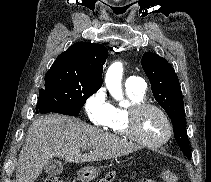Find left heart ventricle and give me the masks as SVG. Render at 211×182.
I'll use <instances>...</instances> for the list:
<instances>
[{
	"mask_svg": "<svg viewBox=\"0 0 211 182\" xmlns=\"http://www.w3.org/2000/svg\"><path fill=\"white\" fill-rule=\"evenodd\" d=\"M137 129L140 137L149 142L161 140L167 130L164 119L153 109H148L140 114Z\"/></svg>",
	"mask_w": 211,
	"mask_h": 182,
	"instance_id": "1",
	"label": "left heart ventricle"
}]
</instances>
